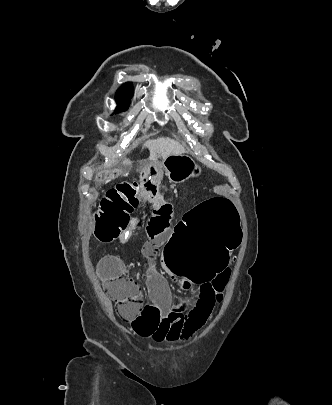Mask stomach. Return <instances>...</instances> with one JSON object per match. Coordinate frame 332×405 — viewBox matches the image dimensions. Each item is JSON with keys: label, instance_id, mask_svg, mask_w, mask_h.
<instances>
[{"label": "stomach", "instance_id": "0dacf381", "mask_svg": "<svg viewBox=\"0 0 332 405\" xmlns=\"http://www.w3.org/2000/svg\"><path fill=\"white\" fill-rule=\"evenodd\" d=\"M169 180L174 183H181L191 177L201 175V167L197 165L188 155L172 154L166 157L162 163Z\"/></svg>", "mask_w": 332, "mask_h": 405}]
</instances>
